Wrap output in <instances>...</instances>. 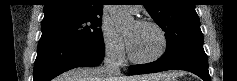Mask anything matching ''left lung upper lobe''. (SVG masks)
Segmentation results:
<instances>
[{
  "label": "left lung upper lobe",
  "instance_id": "left-lung-upper-lobe-1",
  "mask_svg": "<svg viewBox=\"0 0 237 81\" xmlns=\"http://www.w3.org/2000/svg\"><path fill=\"white\" fill-rule=\"evenodd\" d=\"M194 0H147L144 7L165 32L167 48L162 56L172 59L185 49L203 44Z\"/></svg>",
  "mask_w": 237,
  "mask_h": 81
}]
</instances>
